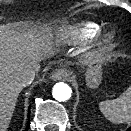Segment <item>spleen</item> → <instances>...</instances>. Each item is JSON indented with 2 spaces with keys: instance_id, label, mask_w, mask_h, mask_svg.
Segmentation results:
<instances>
[{
  "instance_id": "obj_1",
  "label": "spleen",
  "mask_w": 131,
  "mask_h": 131,
  "mask_svg": "<svg viewBox=\"0 0 131 131\" xmlns=\"http://www.w3.org/2000/svg\"><path fill=\"white\" fill-rule=\"evenodd\" d=\"M102 114L113 123L131 121V85L119 97L99 103Z\"/></svg>"
}]
</instances>
